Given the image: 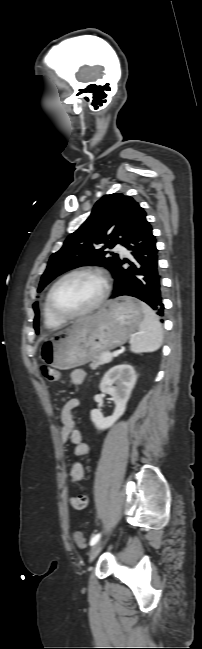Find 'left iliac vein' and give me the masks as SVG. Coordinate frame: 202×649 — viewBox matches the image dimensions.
<instances>
[{
    "mask_svg": "<svg viewBox=\"0 0 202 649\" xmlns=\"http://www.w3.org/2000/svg\"><path fill=\"white\" fill-rule=\"evenodd\" d=\"M105 542H106V539H103V540H100L96 544L93 545V547L91 548V550L89 552V561L90 562H92L96 558V556L98 555V553L102 549Z\"/></svg>",
    "mask_w": 202,
    "mask_h": 649,
    "instance_id": "4c4485c4",
    "label": "left iliac vein"
}]
</instances>
